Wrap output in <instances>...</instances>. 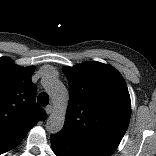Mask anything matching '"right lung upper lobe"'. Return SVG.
<instances>
[{
    "instance_id": "cb5924a9",
    "label": "right lung upper lobe",
    "mask_w": 156,
    "mask_h": 156,
    "mask_svg": "<svg viewBox=\"0 0 156 156\" xmlns=\"http://www.w3.org/2000/svg\"><path fill=\"white\" fill-rule=\"evenodd\" d=\"M34 67L22 68L0 58V154L17 146L45 111L35 102Z\"/></svg>"
}]
</instances>
